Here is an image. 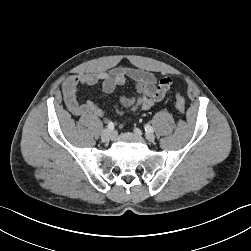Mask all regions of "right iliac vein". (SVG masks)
<instances>
[{
    "instance_id": "obj_1",
    "label": "right iliac vein",
    "mask_w": 251,
    "mask_h": 251,
    "mask_svg": "<svg viewBox=\"0 0 251 251\" xmlns=\"http://www.w3.org/2000/svg\"><path fill=\"white\" fill-rule=\"evenodd\" d=\"M112 137V131L110 129H104L101 133L102 141L106 142Z\"/></svg>"
}]
</instances>
